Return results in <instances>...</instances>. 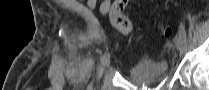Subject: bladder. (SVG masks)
<instances>
[{"mask_svg":"<svg viewBox=\"0 0 209 90\" xmlns=\"http://www.w3.org/2000/svg\"><path fill=\"white\" fill-rule=\"evenodd\" d=\"M168 70V65L164 61L143 58L129 69L131 80L141 84H152L155 81L163 79Z\"/></svg>","mask_w":209,"mask_h":90,"instance_id":"31cf9c89","label":"bladder"}]
</instances>
